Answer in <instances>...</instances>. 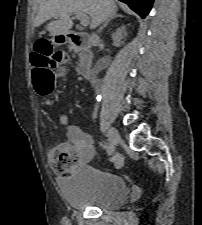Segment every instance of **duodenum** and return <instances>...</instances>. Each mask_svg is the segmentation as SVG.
Here are the masks:
<instances>
[{"mask_svg":"<svg viewBox=\"0 0 202 225\" xmlns=\"http://www.w3.org/2000/svg\"><path fill=\"white\" fill-rule=\"evenodd\" d=\"M54 39L61 44H69L80 55L81 61L77 66L80 75L87 78L93 75L91 67L92 54L88 51L89 39L85 33L68 31L55 35Z\"/></svg>","mask_w":202,"mask_h":225,"instance_id":"duodenum-1","label":"duodenum"}]
</instances>
